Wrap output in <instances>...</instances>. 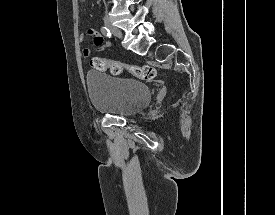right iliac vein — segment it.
I'll return each instance as SVG.
<instances>
[{
    "label": "right iliac vein",
    "instance_id": "63e3f726",
    "mask_svg": "<svg viewBox=\"0 0 275 215\" xmlns=\"http://www.w3.org/2000/svg\"><path fill=\"white\" fill-rule=\"evenodd\" d=\"M104 23H105V25L112 31V33H113L115 36H117V37H119V38L122 37L121 31H120L118 28H116V27L112 24L111 20H110L108 17H105V18H104Z\"/></svg>",
    "mask_w": 275,
    "mask_h": 215
}]
</instances>
